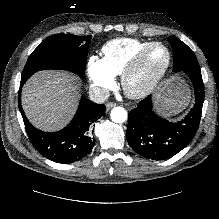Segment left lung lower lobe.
<instances>
[{
	"instance_id": "left-lung-lower-lobe-1",
	"label": "left lung lower lobe",
	"mask_w": 219,
	"mask_h": 219,
	"mask_svg": "<svg viewBox=\"0 0 219 219\" xmlns=\"http://www.w3.org/2000/svg\"><path fill=\"white\" fill-rule=\"evenodd\" d=\"M194 85V107L178 122H169L159 117L152 108L151 97L140 101L129 112L127 141L131 148L149 159L164 160L186 147L198 129L204 102V87L200 69L186 70Z\"/></svg>"
}]
</instances>
